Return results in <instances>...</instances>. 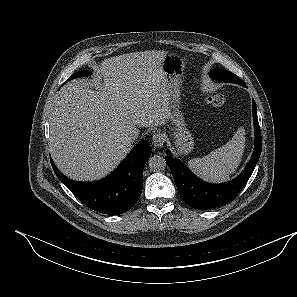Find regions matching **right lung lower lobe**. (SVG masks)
Instances as JSON below:
<instances>
[{
  "label": "right lung lower lobe",
  "instance_id": "98d812e1",
  "mask_svg": "<svg viewBox=\"0 0 297 297\" xmlns=\"http://www.w3.org/2000/svg\"><path fill=\"white\" fill-rule=\"evenodd\" d=\"M152 150L144 140L139 143L108 177L96 182H77L67 178L51 165L62 183L87 207L103 214L127 212L142 193V174Z\"/></svg>",
  "mask_w": 297,
  "mask_h": 297
}]
</instances>
